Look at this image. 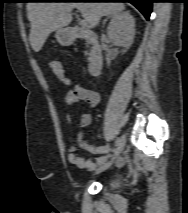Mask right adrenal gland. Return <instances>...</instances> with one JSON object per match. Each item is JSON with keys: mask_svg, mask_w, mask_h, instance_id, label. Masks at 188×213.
<instances>
[{"mask_svg": "<svg viewBox=\"0 0 188 213\" xmlns=\"http://www.w3.org/2000/svg\"><path fill=\"white\" fill-rule=\"evenodd\" d=\"M112 16H108V17H106V19H104V21H103V26L106 24V22H107V20L109 19V18H111Z\"/></svg>", "mask_w": 188, "mask_h": 213, "instance_id": "1", "label": "right adrenal gland"}]
</instances>
